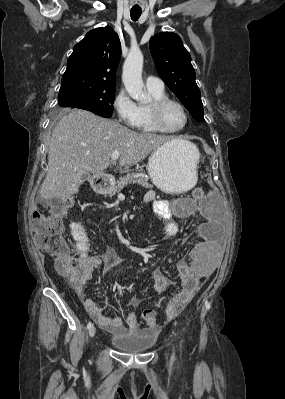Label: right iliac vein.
I'll use <instances>...</instances> for the list:
<instances>
[{"instance_id":"right-iliac-vein-1","label":"right iliac vein","mask_w":285,"mask_h":399,"mask_svg":"<svg viewBox=\"0 0 285 399\" xmlns=\"http://www.w3.org/2000/svg\"><path fill=\"white\" fill-rule=\"evenodd\" d=\"M95 334H96V328H95L94 325H92V326L90 327V329H89V336H90V338H93V337L95 336Z\"/></svg>"}]
</instances>
